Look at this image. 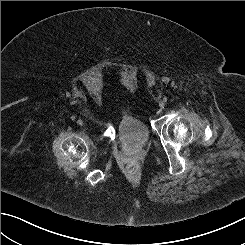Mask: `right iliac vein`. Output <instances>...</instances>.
Here are the masks:
<instances>
[{
	"label": "right iliac vein",
	"instance_id": "63e3f726",
	"mask_svg": "<svg viewBox=\"0 0 245 245\" xmlns=\"http://www.w3.org/2000/svg\"><path fill=\"white\" fill-rule=\"evenodd\" d=\"M76 123H77L79 126H82V125H83V121H82L81 119H78V120L76 121Z\"/></svg>",
	"mask_w": 245,
	"mask_h": 245
}]
</instances>
